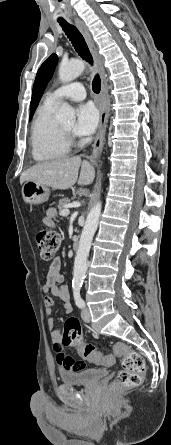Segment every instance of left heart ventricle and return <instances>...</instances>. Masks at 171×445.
I'll use <instances>...</instances> for the list:
<instances>
[{"instance_id": "obj_1", "label": "left heart ventricle", "mask_w": 171, "mask_h": 445, "mask_svg": "<svg viewBox=\"0 0 171 445\" xmlns=\"http://www.w3.org/2000/svg\"><path fill=\"white\" fill-rule=\"evenodd\" d=\"M62 127L65 130L70 131V132H72V130H73V124H65V125H62Z\"/></svg>"}]
</instances>
